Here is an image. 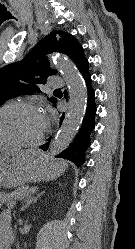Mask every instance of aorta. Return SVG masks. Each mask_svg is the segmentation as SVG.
<instances>
[{
  "label": "aorta",
  "mask_w": 135,
  "mask_h": 249,
  "mask_svg": "<svg viewBox=\"0 0 135 249\" xmlns=\"http://www.w3.org/2000/svg\"><path fill=\"white\" fill-rule=\"evenodd\" d=\"M53 61L68 86L69 107L59 131L50 144L51 157L61 153L73 140L82 123L87 104V89L74 63L59 54Z\"/></svg>",
  "instance_id": "1"
}]
</instances>
